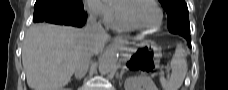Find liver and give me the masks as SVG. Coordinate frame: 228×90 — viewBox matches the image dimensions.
Listing matches in <instances>:
<instances>
[{"label": "liver", "mask_w": 228, "mask_h": 90, "mask_svg": "<svg viewBox=\"0 0 228 90\" xmlns=\"http://www.w3.org/2000/svg\"><path fill=\"white\" fill-rule=\"evenodd\" d=\"M108 39L105 35L95 40L93 54H99ZM85 42L84 29L50 24L31 27L22 49L28 86L32 90H61L70 81Z\"/></svg>", "instance_id": "1"}]
</instances>
